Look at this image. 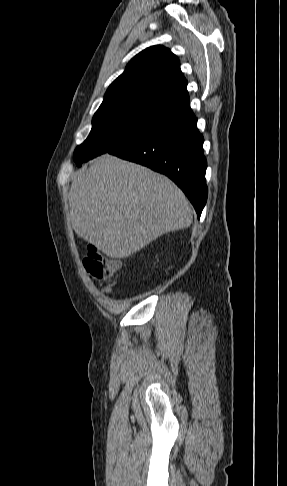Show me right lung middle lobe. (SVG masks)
<instances>
[{"label":"right lung middle lobe","mask_w":287,"mask_h":486,"mask_svg":"<svg viewBox=\"0 0 287 486\" xmlns=\"http://www.w3.org/2000/svg\"><path fill=\"white\" fill-rule=\"evenodd\" d=\"M169 110L148 104L100 106L94 114L88 138L76 148L73 160L81 166L98 155L135 139L162 118Z\"/></svg>","instance_id":"obj_1"}]
</instances>
